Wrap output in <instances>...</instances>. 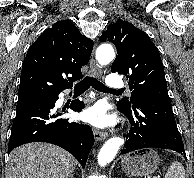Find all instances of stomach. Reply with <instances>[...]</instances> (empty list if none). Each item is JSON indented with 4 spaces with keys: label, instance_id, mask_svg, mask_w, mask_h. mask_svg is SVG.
<instances>
[{
    "label": "stomach",
    "instance_id": "obj_1",
    "mask_svg": "<svg viewBox=\"0 0 194 178\" xmlns=\"http://www.w3.org/2000/svg\"><path fill=\"white\" fill-rule=\"evenodd\" d=\"M159 163L157 152L146 148L124 155L121 168L128 175L149 176L157 170Z\"/></svg>",
    "mask_w": 194,
    "mask_h": 178
}]
</instances>
